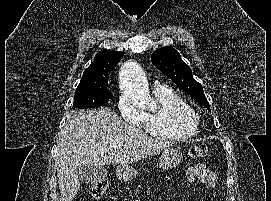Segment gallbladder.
Instances as JSON below:
<instances>
[{"label":"gallbladder","mask_w":271,"mask_h":201,"mask_svg":"<svg viewBox=\"0 0 271 201\" xmlns=\"http://www.w3.org/2000/svg\"><path fill=\"white\" fill-rule=\"evenodd\" d=\"M77 174L82 182L95 184L104 180L107 177L108 171L104 166L83 164L78 167Z\"/></svg>","instance_id":"bac80fb5"}]
</instances>
